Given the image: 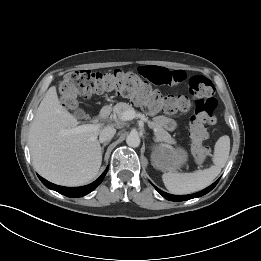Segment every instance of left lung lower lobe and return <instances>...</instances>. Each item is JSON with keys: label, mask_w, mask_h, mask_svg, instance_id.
Listing matches in <instances>:
<instances>
[{"label": "left lung lower lobe", "mask_w": 261, "mask_h": 261, "mask_svg": "<svg viewBox=\"0 0 261 261\" xmlns=\"http://www.w3.org/2000/svg\"><path fill=\"white\" fill-rule=\"evenodd\" d=\"M219 179L214 182L211 186L207 187L206 189L198 192V193H195V194H191V195H171V194H168L166 192H163L162 190H160L159 188H157L155 185H152L155 187V189L166 199L170 200V201H185V200H189V199H192V198H196V197H201L205 194H207L208 192H210L215 186L216 184L218 183Z\"/></svg>", "instance_id": "obj_1"}]
</instances>
